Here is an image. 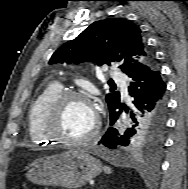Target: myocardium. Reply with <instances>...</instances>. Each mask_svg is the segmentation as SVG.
<instances>
[{"label":"myocardium","instance_id":"1","mask_svg":"<svg viewBox=\"0 0 188 189\" xmlns=\"http://www.w3.org/2000/svg\"><path fill=\"white\" fill-rule=\"evenodd\" d=\"M72 100H81L86 102L92 109L95 122L92 130L82 138H68L60 134L57 130L58 120L64 105ZM101 127L99 112L92 101L86 94L75 90H63L58 93L46 108L44 113L43 131L51 139L67 145H83L93 141L99 134Z\"/></svg>","mask_w":188,"mask_h":189}]
</instances>
